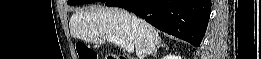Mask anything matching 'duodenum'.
Returning <instances> with one entry per match:
<instances>
[{
  "label": "duodenum",
  "instance_id": "obj_1",
  "mask_svg": "<svg viewBox=\"0 0 261 59\" xmlns=\"http://www.w3.org/2000/svg\"><path fill=\"white\" fill-rule=\"evenodd\" d=\"M110 59H127V57L121 55H112Z\"/></svg>",
  "mask_w": 261,
  "mask_h": 59
}]
</instances>
